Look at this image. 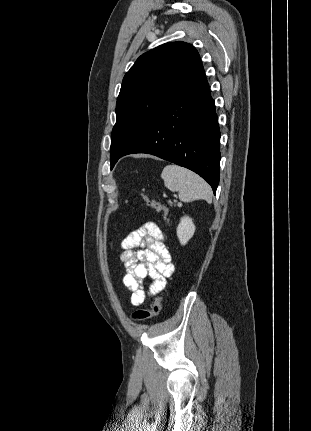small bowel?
<instances>
[{"label": "small bowel", "instance_id": "1", "mask_svg": "<svg viewBox=\"0 0 311 431\" xmlns=\"http://www.w3.org/2000/svg\"><path fill=\"white\" fill-rule=\"evenodd\" d=\"M120 259L126 272L123 284L130 291V301L141 305L147 296L161 292L174 272L171 255L164 244V236L154 222H147L126 236L121 243ZM152 279L149 290L142 286L145 278Z\"/></svg>", "mask_w": 311, "mask_h": 431}]
</instances>
